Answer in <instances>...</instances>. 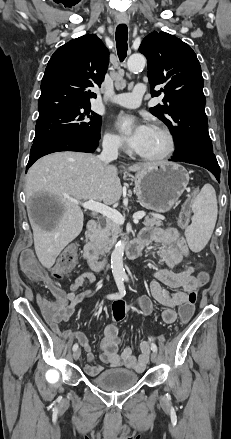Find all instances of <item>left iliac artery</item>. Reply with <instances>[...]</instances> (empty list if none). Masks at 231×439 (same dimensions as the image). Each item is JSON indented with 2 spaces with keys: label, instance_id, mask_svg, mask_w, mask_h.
I'll return each instance as SVG.
<instances>
[{
  "label": "left iliac artery",
  "instance_id": "left-iliac-artery-1",
  "mask_svg": "<svg viewBox=\"0 0 231 439\" xmlns=\"http://www.w3.org/2000/svg\"><path fill=\"white\" fill-rule=\"evenodd\" d=\"M124 279H125L126 281H128V277H124ZM151 349H152L153 352H157V346H156V344L152 343V345H151Z\"/></svg>",
  "mask_w": 231,
  "mask_h": 439
}]
</instances>
